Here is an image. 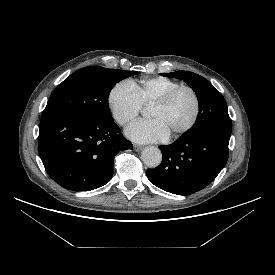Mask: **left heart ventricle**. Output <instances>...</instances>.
I'll use <instances>...</instances> for the list:
<instances>
[{"label": "left heart ventricle", "mask_w": 275, "mask_h": 275, "mask_svg": "<svg viewBox=\"0 0 275 275\" xmlns=\"http://www.w3.org/2000/svg\"><path fill=\"white\" fill-rule=\"evenodd\" d=\"M194 113V100L187 90L180 91L165 108L153 106L150 117L162 123L169 135L182 129L192 118Z\"/></svg>", "instance_id": "obj_1"}]
</instances>
